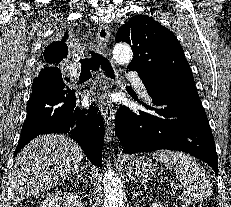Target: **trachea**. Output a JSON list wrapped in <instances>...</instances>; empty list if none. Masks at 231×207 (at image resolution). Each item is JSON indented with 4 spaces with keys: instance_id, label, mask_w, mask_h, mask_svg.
<instances>
[{
    "instance_id": "trachea-1",
    "label": "trachea",
    "mask_w": 231,
    "mask_h": 207,
    "mask_svg": "<svg viewBox=\"0 0 231 207\" xmlns=\"http://www.w3.org/2000/svg\"><path fill=\"white\" fill-rule=\"evenodd\" d=\"M91 57L81 59V74L80 77H91V71L101 67L103 73L111 79H115V74L108 59L96 51H90Z\"/></svg>"
}]
</instances>
